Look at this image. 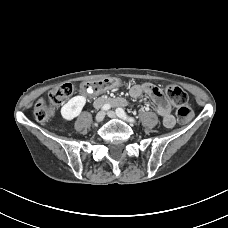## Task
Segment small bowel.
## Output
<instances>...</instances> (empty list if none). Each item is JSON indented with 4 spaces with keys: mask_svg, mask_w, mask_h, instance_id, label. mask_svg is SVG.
<instances>
[{
    "mask_svg": "<svg viewBox=\"0 0 228 228\" xmlns=\"http://www.w3.org/2000/svg\"><path fill=\"white\" fill-rule=\"evenodd\" d=\"M117 86L118 82L106 79L97 83H85L82 85L81 90L86 94H97L114 89ZM129 95L132 98H138L142 95L149 96L154 102L156 112L162 117L163 125L166 128H172L174 126L175 118L172 115L171 104L163 95L160 88L151 83L136 84L130 88Z\"/></svg>",
    "mask_w": 228,
    "mask_h": 228,
    "instance_id": "c3829d8e",
    "label": "small bowel"
}]
</instances>
